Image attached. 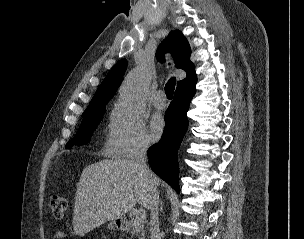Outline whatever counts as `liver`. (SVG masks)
Segmentation results:
<instances>
[{"mask_svg":"<svg viewBox=\"0 0 304 239\" xmlns=\"http://www.w3.org/2000/svg\"><path fill=\"white\" fill-rule=\"evenodd\" d=\"M150 196L131 160L104 159L91 164L83 170L77 185L74 232L83 236L106 221L121 218L136 203L149 208Z\"/></svg>","mask_w":304,"mask_h":239,"instance_id":"1","label":"liver"}]
</instances>
